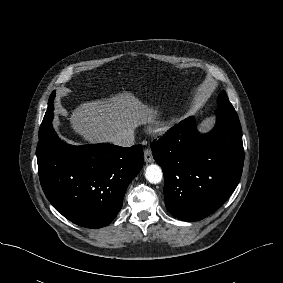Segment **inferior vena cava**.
<instances>
[{
	"mask_svg": "<svg viewBox=\"0 0 283 283\" xmlns=\"http://www.w3.org/2000/svg\"><path fill=\"white\" fill-rule=\"evenodd\" d=\"M110 142L123 147L134 145V132L131 130L120 132L110 138Z\"/></svg>",
	"mask_w": 283,
	"mask_h": 283,
	"instance_id": "inferior-vena-cava-1",
	"label": "inferior vena cava"
}]
</instances>
